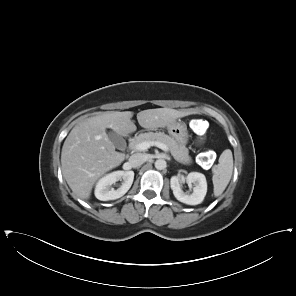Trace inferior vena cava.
I'll use <instances>...</instances> for the list:
<instances>
[{
	"label": "inferior vena cava",
	"instance_id": "inferior-vena-cava-1",
	"mask_svg": "<svg viewBox=\"0 0 296 296\" xmlns=\"http://www.w3.org/2000/svg\"><path fill=\"white\" fill-rule=\"evenodd\" d=\"M146 161L144 154L136 153L130 156L128 164L131 168H136L141 166Z\"/></svg>",
	"mask_w": 296,
	"mask_h": 296
}]
</instances>
